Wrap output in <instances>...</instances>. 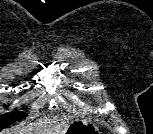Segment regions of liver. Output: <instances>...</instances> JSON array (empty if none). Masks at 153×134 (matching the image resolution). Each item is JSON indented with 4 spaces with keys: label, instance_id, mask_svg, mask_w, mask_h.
I'll return each instance as SVG.
<instances>
[{
    "label": "liver",
    "instance_id": "liver-1",
    "mask_svg": "<svg viewBox=\"0 0 153 134\" xmlns=\"http://www.w3.org/2000/svg\"><path fill=\"white\" fill-rule=\"evenodd\" d=\"M63 125L65 127L64 130L60 131V127H55L52 130H47L44 126L42 121H39L38 123L30 124L28 126L15 129V130H5L2 132V134H45V132H48L49 134H63L67 128V124L63 122ZM53 132V133H52Z\"/></svg>",
    "mask_w": 153,
    "mask_h": 134
}]
</instances>
